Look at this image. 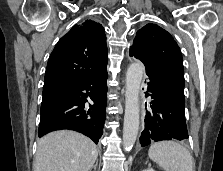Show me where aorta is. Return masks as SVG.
<instances>
[{
  "instance_id": "762f6f07",
  "label": "aorta",
  "mask_w": 223,
  "mask_h": 171,
  "mask_svg": "<svg viewBox=\"0 0 223 171\" xmlns=\"http://www.w3.org/2000/svg\"><path fill=\"white\" fill-rule=\"evenodd\" d=\"M145 68L140 61L131 63L126 73L123 148L129 151L139 130V92Z\"/></svg>"
}]
</instances>
